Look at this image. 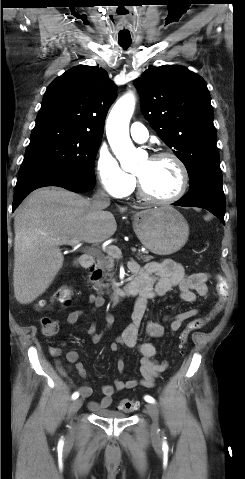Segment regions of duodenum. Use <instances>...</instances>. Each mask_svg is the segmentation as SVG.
Returning a JSON list of instances; mask_svg holds the SVG:
<instances>
[{
	"label": "duodenum",
	"mask_w": 245,
	"mask_h": 479,
	"mask_svg": "<svg viewBox=\"0 0 245 479\" xmlns=\"http://www.w3.org/2000/svg\"><path fill=\"white\" fill-rule=\"evenodd\" d=\"M81 265L85 268H93L94 258L92 254H86L81 259ZM141 290V283L138 279H133L124 284L120 289L112 293V299L114 302H120L124 298L134 297L139 294Z\"/></svg>",
	"instance_id": "1"
}]
</instances>
